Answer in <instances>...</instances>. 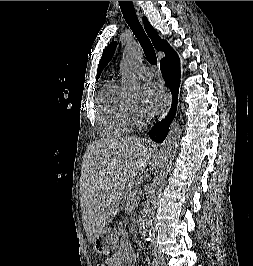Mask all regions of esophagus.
Wrapping results in <instances>:
<instances>
[{
  "instance_id": "esophagus-1",
  "label": "esophagus",
  "mask_w": 253,
  "mask_h": 266,
  "mask_svg": "<svg viewBox=\"0 0 253 266\" xmlns=\"http://www.w3.org/2000/svg\"><path fill=\"white\" fill-rule=\"evenodd\" d=\"M133 3L135 5L136 10L139 12L140 7H139L137 1H133ZM170 104H171V95H170V93H168V95H167V104H166V108L164 110L163 116L167 115V113L169 111V108H170Z\"/></svg>"
}]
</instances>
